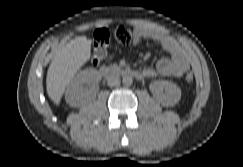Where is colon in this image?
<instances>
[{
    "mask_svg": "<svg viewBox=\"0 0 243 167\" xmlns=\"http://www.w3.org/2000/svg\"><path fill=\"white\" fill-rule=\"evenodd\" d=\"M112 36L121 46H128L132 41L133 34L132 30L126 26H118L114 29H110L106 26L97 28L94 33L93 42L94 50L92 62L94 65H98L106 58ZM193 78L192 72H188L185 76L187 82H192Z\"/></svg>",
    "mask_w": 243,
    "mask_h": 167,
    "instance_id": "colon-1",
    "label": "colon"
}]
</instances>
